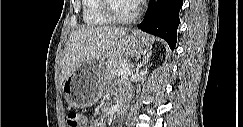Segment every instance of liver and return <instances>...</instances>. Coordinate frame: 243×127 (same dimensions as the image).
I'll list each match as a JSON object with an SVG mask.
<instances>
[{
    "instance_id": "6515ba94",
    "label": "liver",
    "mask_w": 243,
    "mask_h": 127,
    "mask_svg": "<svg viewBox=\"0 0 243 127\" xmlns=\"http://www.w3.org/2000/svg\"><path fill=\"white\" fill-rule=\"evenodd\" d=\"M127 33L128 28L110 27H80L73 31L62 62L61 82L84 62L113 48L115 42Z\"/></svg>"
}]
</instances>
